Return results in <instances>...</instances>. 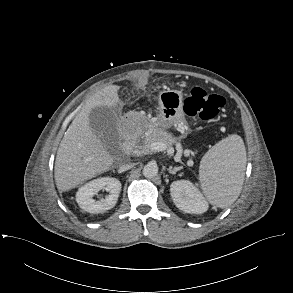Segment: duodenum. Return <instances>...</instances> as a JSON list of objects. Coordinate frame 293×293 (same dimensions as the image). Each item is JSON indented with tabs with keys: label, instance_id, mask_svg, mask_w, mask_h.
<instances>
[{
	"label": "duodenum",
	"instance_id": "410a0bca",
	"mask_svg": "<svg viewBox=\"0 0 293 293\" xmlns=\"http://www.w3.org/2000/svg\"><path fill=\"white\" fill-rule=\"evenodd\" d=\"M130 116H135V113L131 114ZM121 131L122 134L126 137V141L124 143V150L129 152L133 148V140L130 138L131 130L129 127L127 117L123 119Z\"/></svg>",
	"mask_w": 293,
	"mask_h": 293
}]
</instances>
